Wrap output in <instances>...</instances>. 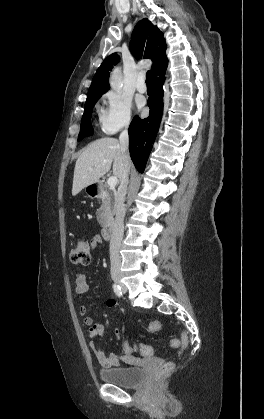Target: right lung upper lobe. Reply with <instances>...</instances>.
I'll list each match as a JSON object with an SVG mask.
<instances>
[{
  "instance_id": "cb5924a9",
  "label": "right lung upper lobe",
  "mask_w": 264,
  "mask_h": 419,
  "mask_svg": "<svg viewBox=\"0 0 264 419\" xmlns=\"http://www.w3.org/2000/svg\"><path fill=\"white\" fill-rule=\"evenodd\" d=\"M130 49L137 58H141L143 55L144 58L152 59L153 77L166 70L168 59L165 55L166 43L163 39V33L147 18L140 20L135 26L130 41ZM118 62L119 56L116 53L111 54L102 62L92 80L87 99L102 95L109 90V71Z\"/></svg>"
}]
</instances>
